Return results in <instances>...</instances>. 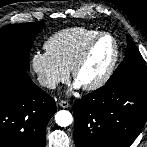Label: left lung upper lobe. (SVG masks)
Wrapping results in <instances>:
<instances>
[{
  "label": "left lung upper lobe",
  "instance_id": "obj_1",
  "mask_svg": "<svg viewBox=\"0 0 147 147\" xmlns=\"http://www.w3.org/2000/svg\"><path fill=\"white\" fill-rule=\"evenodd\" d=\"M128 48L126 57L118 66L106 84L124 80L147 81V68L143 57L136 48L130 35L127 36Z\"/></svg>",
  "mask_w": 147,
  "mask_h": 147
}]
</instances>
